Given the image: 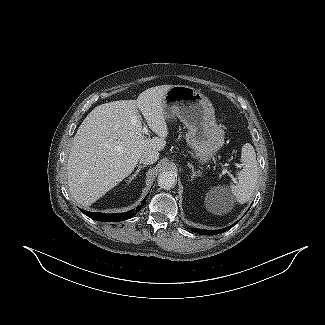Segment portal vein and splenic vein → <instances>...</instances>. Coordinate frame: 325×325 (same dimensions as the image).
I'll return each mask as SVG.
<instances>
[{
    "label": "portal vein and splenic vein",
    "instance_id": "1",
    "mask_svg": "<svg viewBox=\"0 0 325 325\" xmlns=\"http://www.w3.org/2000/svg\"><path fill=\"white\" fill-rule=\"evenodd\" d=\"M142 133L145 134V135H148V128L147 126H144L143 129H142ZM224 166H226V164H224Z\"/></svg>",
    "mask_w": 325,
    "mask_h": 325
}]
</instances>
